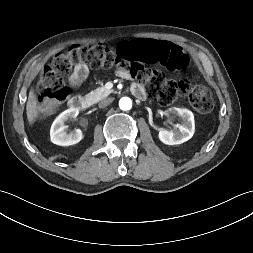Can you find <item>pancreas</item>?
<instances>
[{
  "mask_svg": "<svg viewBox=\"0 0 253 253\" xmlns=\"http://www.w3.org/2000/svg\"><path fill=\"white\" fill-rule=\"evenodd\" d=\"M113 90H108L104 86L97 88L94 91H91L87 97L93 102L96 103L104 98H106Z\"/></svg>",
  "mask_w": 253,
  "mask_h": 253,
  "instance_id": "cf45deb5",
  "label": "pancreas"
}]
</instances>
